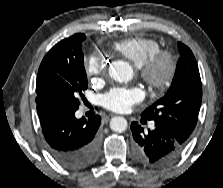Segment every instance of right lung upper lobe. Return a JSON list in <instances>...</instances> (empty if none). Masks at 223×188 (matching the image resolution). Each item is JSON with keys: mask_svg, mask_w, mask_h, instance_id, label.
Instances as JSON below:
<instances>
[{"mask_svg": "<svg viewBox=\"0 0 223 188\" xmlns=\"http://www.w3.org/2000/svg\"><path fill=\"white\" fill-rule=\"evenodd\" d=\"M73 36L70 37V38H67V39H64L62 41H60L58 44H56L54 47H53V50L55 49H59V48H66L68 45H69V42L72 40Z\"/></svg>", "mask_w": 223, "mask_h": 188, "instance_id": "obj_1", "label": "right lung upper lobe"}]
</instances>
